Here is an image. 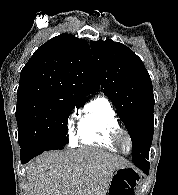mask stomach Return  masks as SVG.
<instances>
[{
	"instance_id": "obj_1",
	"label": "stomach",
	"mask_w": 178,
	"mask_h": 195,
	"mask_svg": "<svg viewBox=\"0 0 178 195\" xmlns=\"http://www.w3.org/2000/svg\"><path fill=\"white\" fill-rule=\"evenodd\" d=\"M132 171L133 170L131 168H129V167L117 169L115 171V173L113 174L112 178H111L110 186H109V189H108V195L124 194L125 191H123L120 188L116 189V185L121 180H122V182H124L125 184H127V181L125 180V178ZM121 186L124 187L123 184ZM125 189H128V188L125 187Z\"/></svg>"
}]
</instances>
